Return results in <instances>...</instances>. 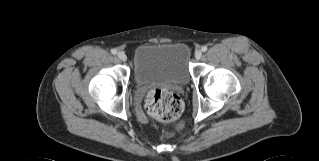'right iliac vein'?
<instances>
[{
  "label": "right iliac vein",
  "mask_w": 319,
  "mask_h": 161,
  "mask_svg": "<svg viewBox=\"0 0 319 161\" xmlns=\"http://www.w3.org/2000/svg\"><path fill=\"white\" fill-rule=\"evenodd\" d=\"M117 57L119 60L125 62L127 60V56L124 52H118Z\"/></svg>",
  "instance_id": "right-iliac-vein-1"
}]
</instances>
